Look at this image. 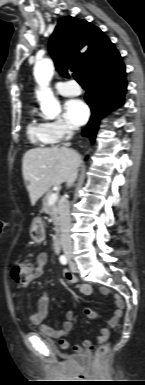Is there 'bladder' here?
Masks as SVG:
<instances>
[{
	"mask_svg": "<svg viewBox=\"0 0 145 385\" xmlns=\"http://www.w3.org/2000/svg\"><path fill=\"white\" fill-rule=\"evenodd\" d=\"M48 341H49V343H50L52 346H54V343H53L52 341H50V340H48ZM79 357H81V360H82V361L85 360V357H83V356H79Z\"/></svg>",
	"mask_w": 145,
	"mask_h": 385,
	"instance_id": "31cf9c89",
	"label": "bladder"
}]
</instances>
